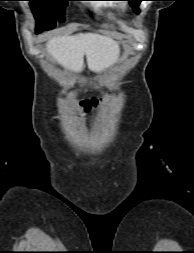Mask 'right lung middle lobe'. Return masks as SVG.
Here are the masks:
<instances>
[{"label":"right lung middle lobe","instance_id":"dd1d6c3e","mask_svg":"<svg viewBox=\"0 0 194 253\" xmlns=\"http://www.w3.org/2000/svg\"><path fill=\"white\" fill-rule=\"evenodd\" d=\"M31 2L36 19V33L55 27L56 19L64 22V10L70 0H26Z\"/></svg>","mask_w":194,"mask_h":253}]
</instances>
